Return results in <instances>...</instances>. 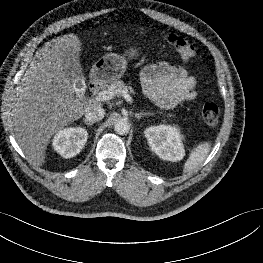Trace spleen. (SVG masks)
<instances>
[{
	"label": "spleen",
	"instance_id": "obj_1",
	"mask_svg": "<svg viewBox=\"0 0 263 263\" xmlns=\"http://www.w3.org/2000/svg\"><path fill=\"white\" fill-rule=\"evenodd\" d=\"M210 151L209 143H201L197 147H195L190 155L189 158L186 160L184 164L183 171L190 172L196 169L208 156Z\"/></svg>",
	"mask_w": 263,
	"mask_h": 263
}]
</instances>
